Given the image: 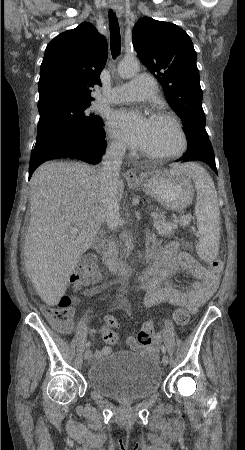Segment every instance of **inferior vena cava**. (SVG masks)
I'll use <instances>...</instances> for the list:
<instances>
[{
  "label": "inferior vena cava",
  "instance_id": "inferior-vena-cava-1",
  "mask_svg": "<svg viewBox=\"0 0 245 450\" xmlns=\"http://www.w3.org/2000/svg\"><path fill=\"white\" fill-rule=\"evenodd\" d=\"M126 148L120 143H112L107 147L102 158V167L98 172L100 196L105 207L108 228L115 230L120 224L118 203L119 170Z\"/></svg>",
  "mask_w": 245,
  "mask_h": 450
}]
</instances>
